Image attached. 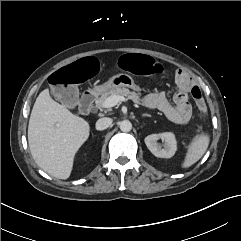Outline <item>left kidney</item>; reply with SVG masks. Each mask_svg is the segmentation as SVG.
Here are the masks:
<instances>
[{
    "instance_id": "obj_1",
    "label": "left kidney",
    "mask_w": 241,
    "mask_h": 241,
    "mask_svg": "<svg viewBox=\"0 0 241 241\" xmlns=\"http://www.w3.org/2000/svg\"><path fill=\"white\" fill-rule=\"evenodd\" d=\"M159 139L164 142V148L159 146L157 142ZM144 141L150 152L159 158H171L177 150L175 135L171 132L151 134Z\"/></svg>"
}]
</instances>
